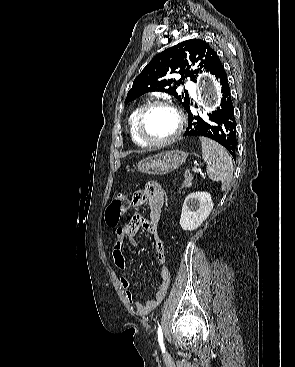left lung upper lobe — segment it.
Listing matches in <instances>:
<instances>
[{"mask_svg":"<svg viewBox=\"0 0 295 367\" xmlns=\"http://www.w3.org/2000/svg\"><path fill=\"white\" fill-rule=\"evenodd\" d=\"M198 61H200L199 66L210 73L219 61L216 52L201 39L186 40L166 49L156 55L135 78L125 103L145 93L160 91L173 95L187 110L190 99L188 95H178L176 85L184 84L187 77H190L193 82L197 81L199 69L193 70V67ZM175 74L181 75L178 81L174 78Z\"/></svg>","mask_w":295,"mask_h":367,"instance_id":"obj_1","label":"left lung upper lobe"}]
</instances>
